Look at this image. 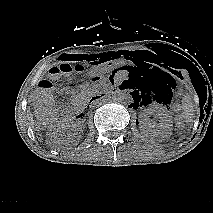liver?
<instances>
[{"label":"liver","instance_id":"6515ba94","mask_svg":"<svg viewBox=\"0 0 213 213\" xmlns=\"http://www.w3.org/2000/svg\"><path fill=\"white\" fill-rule=\"evenodd\" d=\"M27 118H28V120H29L30 126H31L32 128H34V127H35V122H34V120H33V115H32L30 112L27 114Z\"/></svg>","mask_w":213,"mask_h":213}]
</instances>
